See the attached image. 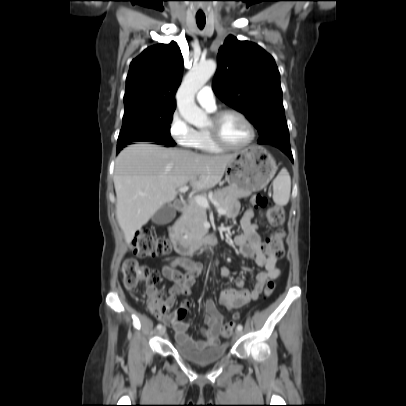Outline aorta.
Instances as JSON below:
<instances>
[{
  "mask_svg": "<svg viewBox=\"0 0 406 406\" xmlns=\"http://www.w3.org/2000/svg\"><path fill=\"white\" fill-rule=\"evenodd\" d=\"M216 68L217 65L213 60L194 65L184 77L176 94L180 115L184 120L196 127L205 126L208 118L206 113L196 105L195 94L213 76Z\"/></svg>",
  "mask_w": 406,
  "mask_h": 406,
  "instance_id": "1",
  "label": "aorta"
}]
</instances>
